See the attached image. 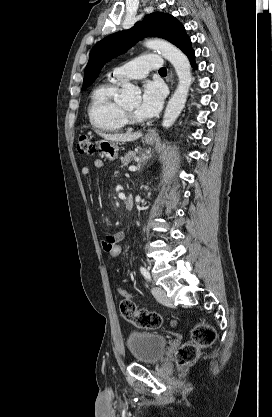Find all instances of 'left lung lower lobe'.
<instances>
[{
    "mask_svg": "<svg viewBox=\"0 0 272 417\" xmlns=\"http://www.w3.org/2000/svg\"><path fill=\"white\" fill-rule=\"evenodd\" d=\"M187 55V57L189 58L191 65L193 66V68H196V64H195V53L194 50L191 48L187 53H185Z\"/></svg>",
    "mask_w": 272,
    "mask_h": 417,
    "instance_id": "left-lung-lower-lobe-1",
    "label": "left lung lower lobe"
}]
</instances>
